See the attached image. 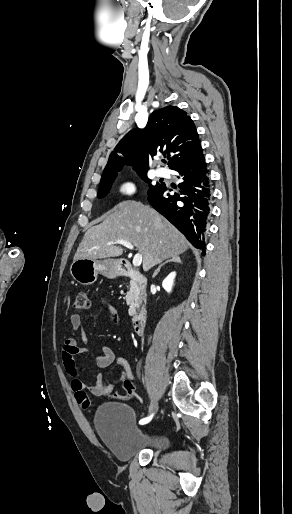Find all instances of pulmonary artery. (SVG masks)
<instances>
[{
    "label": "pulmonary artery",
    "instance_id": "pulmonary-artery-1",
    "mask_svg": "<svg viewBox=\"0 0 292 514\" xmlns=\"http://www.w3.org/2000/svg\"><path fill=\"white\" fill-rule=\"evenodd\" d=\"M156 175H157L158 177H165L167 174H166V172L164 171V169H157V170H156Z\"/></svg>",
    "mask_w": 292,
    "mask_h": 514
}]
</instances>
